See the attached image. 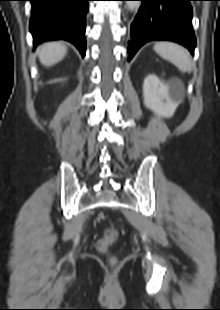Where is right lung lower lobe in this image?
<instances>
[{"label": "right lung lower lobe", "mask_w": 220, "mask_h": 310, "mask_svg": "<svg viewBox=\"0 0 220 310\" xmlns=\"http://www.w3.org/2000/svg\"><path fill=\"white\" fill-rule=\"evenodd\" d=\"M29 24L34 47L43 41L67 40L84 57L85 18L90 0H30Z\"/></svg>", "instance_id": "1"}]
</instances>
